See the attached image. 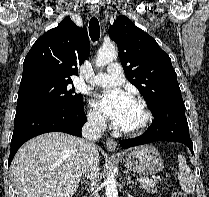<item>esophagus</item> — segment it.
<instances>
[{"label": "esophagus", "mask_w": 209, "mask_h": 197, "mask_svg": "<svg viewBox=\"0 0 209 197\" xmlns=\"http://www.w3.org/2000/svg\"><path fill=\"white\" fill-rule=\"evenodd\" d=\"M90 10L93 15H98L100 11L99 6L97 4L91 5ZM106 147L108 151L114 152L116 150L117 143L113 139L107 138Z\"/></svg>", "instance_id": "34e87169"}]
</instances>
